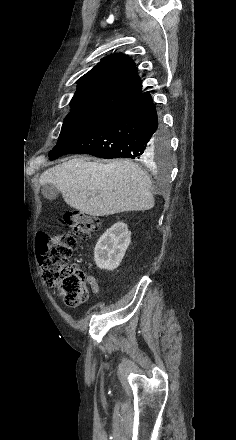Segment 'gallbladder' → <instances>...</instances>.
Wrapping results in <instances>:
<instances>
[{
  "instance_id": "gallbladder-1",
  "label": "gallbladder",
  "mask_w": 236,
  "mask_h": 440,
  "mask_svg": "<svg viewBox=\"0 0 236 440\" xmlns=\"http://www.w3.org/2000/svg\"><path fill=\"white\" fill-rule=\"evenodd\" d=\"M42 195L45 199L52 201L58 197L59 191L52 184H44L42 186Z\"/></svg>"
}]
</instances>
